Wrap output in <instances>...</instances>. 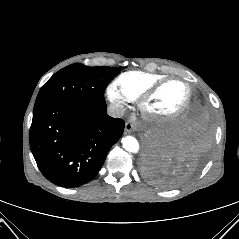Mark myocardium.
Masks as SVG:
<instances>
[{"label": "myocardium", "mask_w": 239, "mask_h": 239, "mask_svg": "<svg viewBox=\"0 0 239 239\" xmlns=\"http://www.w3.org/2000/svg\"><path fill=\"white\" fill-rule=\"evenodd\" d=\"M172 82H181L186 86L187 96H186L184 103L176 111L169 113V114H161V113L152 112L149 109V103L151 102V100H153L158 95V93L165 86H167L168 84H170ZM191 99H192V87L187 81L179 79V78H166V79L158 82L151 88H149L141 96L140 101H139V107H140L142 113L150 120H153V121L172 120V119L178 118L187 110V108L189 107V105L191 103Z\"/></svg>", "instance_id": "f54148a6"}]
</instances>
